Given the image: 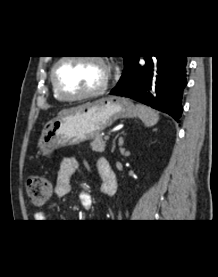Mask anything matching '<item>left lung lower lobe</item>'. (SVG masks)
<instances>
[{
  "mask_svg": "<svg viewBox=\"0 0 218 277\" xmlns=\"http://www.w3.org/2000/svg\"><path fill=\"white\" fill-rule=\"evenodd\" d=\"M133 56L111 94L130 97L171 115L178 121L182 114V95L186 86L185 55L145 56L140 66Z\"/></svg>",
  "mask_w": 218,
  "mask_h": 277,
  "instance_id": "left-lung-lower-lobe-1",
  "label": "left lung lower lobe"
}]
</instances>
